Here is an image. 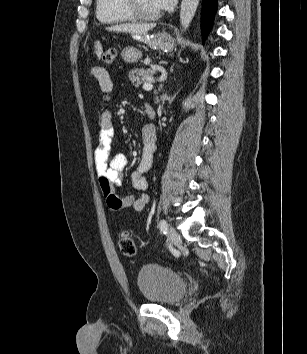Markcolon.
Returning <instances> with one entry per match:
<instances>
[{"mask_svg":"<svg viewBox=\"0 0 307 354\" xmlns=\"http://www.w3.org/2000/svg\"><path fill=\"white\" fill-rule=\"evenodd\" d=\"M116 57L114 49H108L103 52L101 59L105 64H111ZM118 245L121 253L126 257H134L137 253L136 245L131 234L128 231H123L118 238Z\"/></svg>","mask_w":307,"mask_h":354,"instance_id":"colon-1","label":"colon"}]
</instances>
